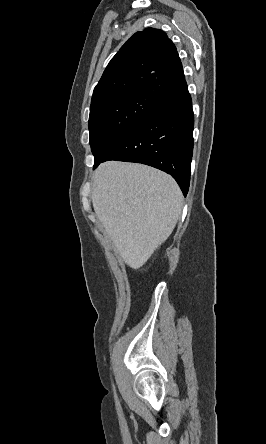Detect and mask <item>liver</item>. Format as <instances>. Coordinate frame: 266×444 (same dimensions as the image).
<instances>
[{
    "label": "liver",
    "mask_w": 266,
    "mask_h": 444,
    "mask_svg": "<svg viewBox=\"0 0 266 444\" xmlns=\"http://www.w3.org/2000/svg\"><path fill=\"white\" fill-rule=\"evenodd\" d=\"M92 203L116 251L136 269L171 235L183 196L176 181L160 170L109 161L93 175Z\"/></svg>",
    "instance_id": "1"
}]
</instances>
